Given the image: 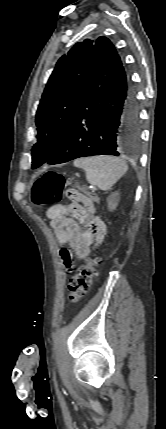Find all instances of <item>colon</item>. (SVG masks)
<instances>
[{
	"instance_id": "1",
	"label": "colon",
	"mask_w": 166,
	"mask_h": 429,
	"mask_svg": "<svg viewBox=\"0 0 166 429\" xmlns=\"http://www.w3.org/2000/svg\"><path fill=\"white\" fill-rule=\"evenodd\" d=\"M64 197L83 205L98 202V199L94 195L84 194L72 187L62 174L55 171H47L42 174L35 181L31 192V200L38 206L57 203ZM99 262V257L93 256L83 264L78 269V272L69 280L67 290L68 300L70 302L74 303L87 295Z\"/></svg>"
}]
</instances>
